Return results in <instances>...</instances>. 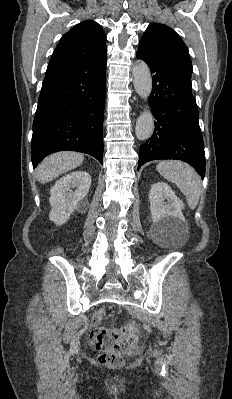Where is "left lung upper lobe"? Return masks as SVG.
<instances>
[{"instance_id": "1", "label": "left lung upper lobe", "mask_w": 232, "mask_h": 399, "mask_svg": "<svg viewBox=\"0 0 232 399\" xmlns=\"http://www.w3.org/2000/svg\"><path fill=\"white\" fill-rule=\"evenodd\" d=\"M139 47L158 52L170 61L191 84L192 63L188 48L170 27L152 23L142 36Z\"/></svg>"}]
</instances>
